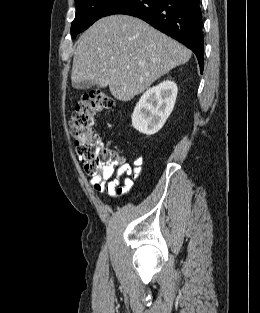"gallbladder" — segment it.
<instances>
[{"label": "gallbladder", "mask_w": 260, "mask_h": 313, "mask_svg": "<svg viewBox=\"0 0 260 313\" xmlns=\"http://www.w3.org/2000/svg\"><path fill=\"white\" fill-rule=\"evenodd\" d=\"M94 85L93 81H83V82H73L72 86L78 90H85V89H89Z\"/></svg>", "instance_id": "gallbladder-1"}]
</instances>
